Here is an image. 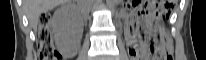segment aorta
<instances>
[{
  "label": "aorta",
  "mask_w": 206,
  "mask_h": 60,
  "mask_svg": "<svg viewBox=\"0 0 206 60\" xmlns=\"http://www.w3.org/2000/svg\"><path fill=\"white\" fill-rule=\"evenodd\" d=\"M116 0H107V4L110 8H113L115 6Z\"/></svg>",
  "instance_id": "obj_1"
}]
</instances>
